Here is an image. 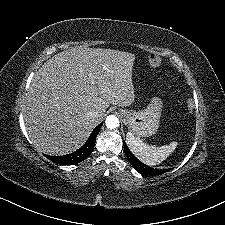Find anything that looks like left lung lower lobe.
I'll return each mask as SVG.
<instances>
[{
  "label": "left lung lower lobe",
  "instance_id": "left-lung-lower-lobe-1",
  "mask_svg": "<svg viewBox=\"0 0 225 225\" xmlns=\"http://www.w3.org/2000/svg\"><path fill=\"white\" fill-rule=\"evenodd\" d=\"M124 143V150H125V154L129 160V162L131 163V165L142 175H149V176H155V175H160L163 174L167 171H169L170 169L167 170H159V169H154V168H150L149 166H146L145 164H143L142 162H140L137 158L134 157V155L130 152V150L128 149L127 145Z\"/></svg>",
  "mask_w": 225,
  "mask_h": 225
}]
</instances>
